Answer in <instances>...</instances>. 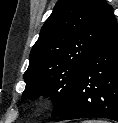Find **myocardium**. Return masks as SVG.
<instances>
[{
    "label": "myocardium",
    "instance_id": "f54148a6",
    "mask_svg": "<svg viewBox=\"0 0 118 123\" xmlns=\"http://www.w3.org/2000/svg\"><path fill=\"white\" fill-rule=\"evenodd\" d=\"M51 106V98L49 95H42L35 101V109L37 112L44 113L49 110Z\"/></svg>",
    "mask_w": 118,
    "mask_h": 123
}]
</instances>
